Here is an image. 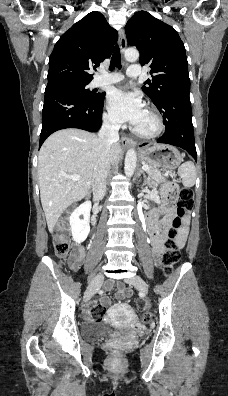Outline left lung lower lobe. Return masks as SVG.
<instances>
[{
  "label": "left lung lower lobe",
  "instance_id": "left-lung-lower-lobe-1",
  "mask_svg": "<svg viewBox=\"0 0 228 396\" xmlns=\"http://www.w3.org/2000/svg\"><path fill=\"white\" fill-rule=\"evenodd\" d=\"M176 100L181 101L179 109L175 108ZM157 108L163 114L166 126L165 133L157 142L181 147L197 160L189 93L170 95Z\"/></svg>",
  "mask_w": 228,
  "mask_h": 396
}]
</instances>
